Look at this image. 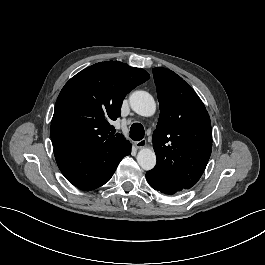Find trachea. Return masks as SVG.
I'll list each match as a JSON object with an SVG mask.
<instances>
[{"label": "trachea", "mask_w": 265, "mask_h": 265, "mask_svg": "<svg viewBox=\"0 0 265 265\" xmlns=\"http://www.w3.org/2000/svg\"><path fill=\"white\" fill-rule=\"evenodd\" d=\"M145 135V130L142 124L134 123L130 128V138L134 141H140Z\"/></svg>", "instance_id": "obj_1"}]
</instances>
